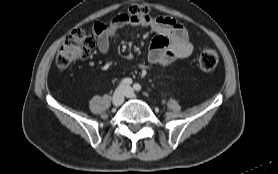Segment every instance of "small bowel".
<instances>
[{"label":"small bowel","instance_id":"1","mask_svg":"<svg viewBox=\"0 0 278 174\" xmlns=\"http://www.w3.org/2000/svg\"><path fill=\"white\" fill-rule=\"evenodd\" d=\"M112 28L97 37L98 51L106 55L110 48V39L122 28L146 27L156 36L152 40L148 52V60L152 64L169 66L178 59L187 58L193 52L185 27L175 18L169 16H151L120 14L111 21ZM147 67L142 65L141 69Z\"/></svg>","mask_w":278,"mask_h":174}]
</instances>
